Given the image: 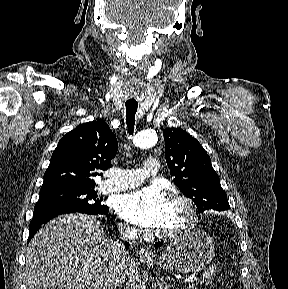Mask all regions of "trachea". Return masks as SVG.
Segmentation results:
<instances>
[{"label":"trachea","mask_w":288,"mask_h":289,"mask_svg":"<svg viewBox=\"0 0 288 289\" xmlns=\"http://www.w3.org/2000/svg\"><path fill=\"white\" fill-rule=\"evenodd\" d=\"M126 106V124L129 135H132L135 125V114L137 112L138 103L135 100H129L125 103Z\"/></svg>","instance_id":"1"}]
</instances>
